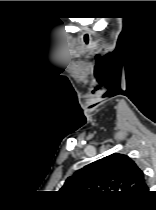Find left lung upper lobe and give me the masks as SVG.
<instances>
[{"label": "left lung upper lobe", "instance_id": "obj_1", "mask_svg": "<svg viewBox=\"0 0 156 210\" xmlns=\"http://www.w3.org/2000/svg\"><path fill=\"white\" fill-rule=\"evenodd\" d=\"M62 191L68 193H113L138 196L148 192L142 170L127 155L112 154L76 171Z\"/></svg>", "mask_w": 156, "mask_h": 210}]
</instances>
